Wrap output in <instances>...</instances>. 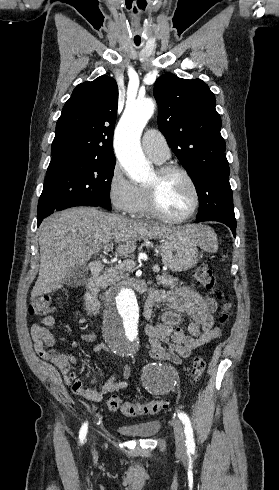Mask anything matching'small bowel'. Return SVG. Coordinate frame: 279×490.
Masks as SVG:
<instances>
[{"instance_id":"c3829d8e","label":"small bowel","mask_w":279,"mask_h":490,"mask_svg":"<svg viewBox=\"0 0 279 490\" xmlns=\"http://www.w3.org/2000/svg\"><path fill=\"white\" fill-rule=\"evenodd\" d=\"M156 304H165L168 310L161 315V321L154 323V307ZM217 310L216 301L192 286H184L175 290L151 289L144 306V317L148 321L144 326L148 338L151 356L159 361H168L179 364L183 358L190 356L192 351L221 336L222 328L214 326L213 314ZM190 318L187 330L181 326V317ZM55 324L53 316H45L30 327V334L34 348L38 355L54 364L64 376L66 384L71 391L93 402H99L111 392L127 388L132 367L125 363L120 376L111 377L99 389L87 387L76 379L71 371L72 365L77 364L76 357L71 354L57 352L53 346L55 338L48 330ZM95 332L82 335V339L92 342L96 339ZM167 345V348L163 347ZM106 350L104 344L94 346L95 353ZM98 377L91 376V383L96 384Z\"/></svg>"}]
</instances>
